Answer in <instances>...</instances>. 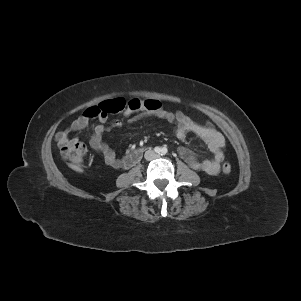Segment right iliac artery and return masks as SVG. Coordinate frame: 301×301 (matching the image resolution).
Listing matches in <instances>:
<instances>
[{"label": "right iliac artery", "instance_id": "obj_1", "mask_svg": "<svg viewBox=\"0 0 301 301\" xmlns=\"http://www.w3.org/2000/svg\"><path fill=\"white\" fill-rule=\"evenodd\" d=\"M154 151H155L156 153H160V152H161V148H160V147H155Z\"/></svg>", "mask_w": 301, "mask_h": 301}]
</instances>
